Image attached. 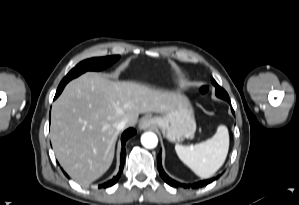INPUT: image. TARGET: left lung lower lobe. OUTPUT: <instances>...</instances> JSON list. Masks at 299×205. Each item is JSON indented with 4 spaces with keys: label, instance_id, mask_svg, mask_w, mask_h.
I'll list each match as a JSON object with an SVG mask.
<instances>
[{
    "label": "left lung lower lobe",
    "instance_id": "1",
    "mask_svg": "<svg viewBox=\"0 0 299 205\" xmlns=\"http://www.w3.org/2000/svg\"><path fill=\"white\" fill-rule=\"evenodd\" d=\"M222 99H224V100H226L230 103L229 98H222ZM232 112L234 114L233 109H232ZM157 165H158L159 173H160L161 177L163 178V180L172 187H176V188H179V187L180 188H199V187L206 186L207 184H209V183H211L212 181L215 180V178H212V179H207V180L200 181V182H197V183H194V184H184V183H180V182H177V181L171 179L164 172V170L162 168V165H161V152L159 153L158 158H157Z\"/></svg>",
    "mask_w": 299,
    "mask_h": 205
}]
</instances>
